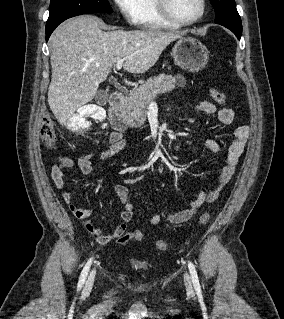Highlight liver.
Returning a JSON list of instances; mask_svg holds the SVG:
<instances>
[{
  "mask_svg": "<svg viewBox=\"0 0 284 319\" xmlns=\"http://www.w3.org/2000/svg\"><path fill=\"white\" fill-rule=\"evenodd\" d=\"M180 37V33L161 30L105 32L99 20L89 15L62 23L50 38L48 103L54 116L64 124L92 101L118 60H124L125 71L142 74L154 66L168 44Z\"/></svg>",
  "mask_w": 284,
  "mask_h": 319,
  "instance_id": "obj_1",
  "label": "liver"
}]
</instances>
